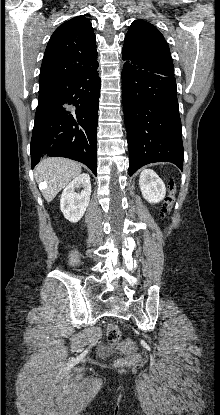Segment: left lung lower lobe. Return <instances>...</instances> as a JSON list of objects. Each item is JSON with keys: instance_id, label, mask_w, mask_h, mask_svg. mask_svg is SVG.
Returning a JSON list of instances; mask_svg holds the SVG:
<instances>
[{"instance_id": "0a47b994", "label": "left lung lower lobe", "mask_w": 220, "mask_h": 415, "mask_svg": "<svg viewBox=\"0 0 220 415\" xmlns=\"http://www.w3.org/2000/svg\"><path fill=\"white\" fill-rule=\"evenodd\" d=\"M129 175L153 162L183 169L184 150L174 72L130 62L122 70Z\"/></svg>"}]
</instances>
